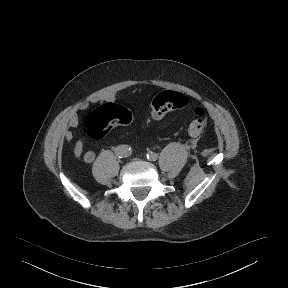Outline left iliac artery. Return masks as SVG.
I'll use <instances>...</instances> for the list:
<instances>
[{
  "instance_id": "obj_1",
  "label": "left iliac artery",
  "mask_w": 288,
  "mask_h": 288,
  "mask_svg": "<svg viewBox=\"0 0 288 288\" xmlns=\"http://www.w3.org/2000/svg\"><path fill=\"white\" fill-rule=\"evenodd\" d=\"M146 158L150 161H156L158 159V154L155 152H149L146 154Z\"/></svg>"
}]
</instances>
